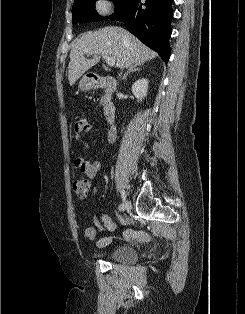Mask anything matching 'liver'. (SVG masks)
Wrapping results in <instances>:
<instances>
[{"instance_id": "liver-1", "label": "liver", "mask_w": 245, "mask_h": 314, "mask_svg": "<svg viewBox=\"0 0 245 314\" xmlns=\"http://www.w3.org/2000/svg\"><path fill=\"white\" fill-rule=\"evenodd\" d=\"M89 53L94 54L93 59L85 58ZM102 53L115 58L118 68L142 65L157 57L153 50L121 27L108 26L87 32L71 49L68 65L69 84L73 85L87 70L97 64Z\"/></svg>"}]
</instances>
